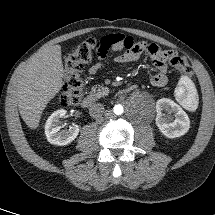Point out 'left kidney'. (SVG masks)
<instances>
[{
	"mask_svg": "<svg viewBox=\"0 0 215 215\" xmlns=\"http://www.w3.org/2000/svg\"><path fill=\"white\" fill-rule=\"evenodd\" d=\"M156 125L168 138H177L188 132L190 120L186 112L173 100L159 99L156 102ZM174 113L175 119L169 114Z\"/></svg>",
	"mask_w": 215,
	"mask_h": 215,
	"instance_id": "obj_1",
	"label": "left kidney"
}]
</instances>
